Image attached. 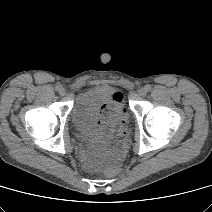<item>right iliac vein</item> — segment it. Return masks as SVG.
Returning a JSON list of instances; mask_svg holds the SVG:
<instances>
[{
	"label": "right iliac vein",
	"mask_w": 212,
	"mask_h": 212,
	"mask_svg": "<svg viewBox=\"0 0 212 212\" xmlns=\"http://www.w3.org/2000/svg\"><path fill=\"white\" fill-rule=\"evenodd\" d=\"M59 94H60L61 96H65V94H66L65 89L61 87V88L59 89Z\"/></svg>",
	"instance_id": "obj_1"
}]
</instances>
